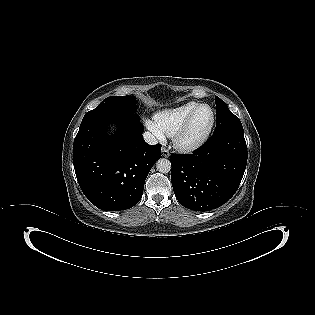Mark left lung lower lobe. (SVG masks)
<instances>
[{
    "instance_id": "0a47b994",
    "label": "left lung lower lobe",
    "mask_w": 315,
    "mask_h": 315,
    "mask_svg": "<svg viewBox=\"0 0 315 315\" xmlns=\"http://www.w3.org/2000/svg\"><path fill=\"white\" fill-rule=\"evenodd\" d=\"M247 164L244 133L212 136L193 154H171V181L178 202L207 211L227 202L237 191Z\"/></svg>"
}]
</instances>
